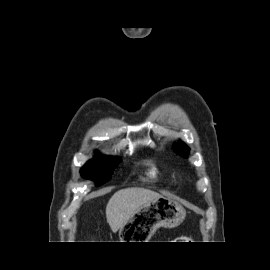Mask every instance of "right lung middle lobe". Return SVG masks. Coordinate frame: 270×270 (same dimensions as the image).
I'll return each mask as SVG.
<instances>
[{"label": "right lung middle lobe", "instance_id": "1", "mask_svg": "<svg viewBox=\"0 0 270 270\" xmlns=\"http://www.w3.org/2000/svg\"><path fill=\"white\" fill-rule=\"evenodd\" d=\"M120 162L118 157H98L90 160L81 169V175L85 178H93L96 180V186H100L107 182L112 175L113 170Z\"/></svg>", "mask_w": 270, "mask_h": 270}]
</instances>
